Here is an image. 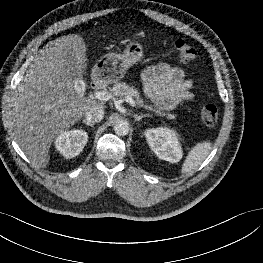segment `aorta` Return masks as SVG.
<instances>
[{
	"label": "aorta",
	"mask_w": 263,
	"mask_h": 263,
	"mask_svg": "<svg viewBox=\"0 0 263 263\" xmlns=\"http://www.w3.org/2000/svg\"><path fill=\"white\" fill-rule=\"evenodd\" d=\"M129 129V123L125 120H117L114 124V131L117 135H127L129 133Z\"/></svg>",
	"instance_id": "1"
}]
</instances>
